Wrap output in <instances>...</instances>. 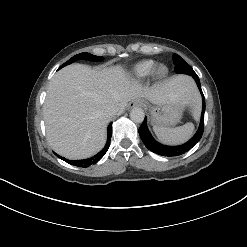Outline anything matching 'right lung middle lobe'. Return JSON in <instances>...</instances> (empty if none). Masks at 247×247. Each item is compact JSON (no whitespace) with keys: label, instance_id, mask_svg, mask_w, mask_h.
Segmentation results:
<instances>
[{"label":"right lung middle lobe","instance_id":"1","mask_svg":"<svg viewBox=\"0 0 247 247\" xmlns=\"http://www.w3.org/2000/svg\"><path fill=\"white\" fill-rule=\"evenodd\" d=\"M80 59H86V60L98 62V61H102L103 57L95 56V55H92V54H89V53H80V54H77V55L73 56L71 59H69L63 65H61L60 68L66 66V65H69V64H71V63H73V62H75L77 60H80Z\"/></svg>","mask_w":247,"mask_h":247}]
</instances>
